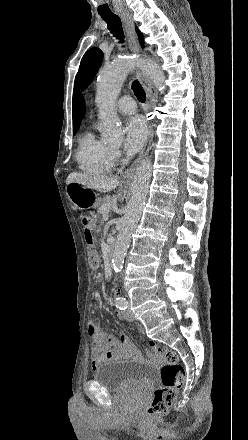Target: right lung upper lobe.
<instances>
[{
	"label": "right lung upper lobe",
	"instance_id": "1",
	"mask_svg": "<svg viewBox=\"0 0 248 440\" xmlns=\"http://www.w3.org/2000/svg\"><path fill=\"white\" fill-rule=\"evenodd\" d=\"M138 36L141 43L143 44V36L139 30H137ZM85 115V105L82 96L75 89L73 92V106H72V117H73V130H78L80 127L81 120Z\"/></svg>",
	"mask_w": 248,
	"mask_h": 440
}]
</instances>
